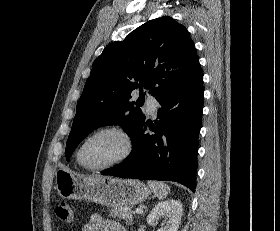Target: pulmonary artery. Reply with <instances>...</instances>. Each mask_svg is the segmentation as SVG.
Returning <instances> with one entry per match:
<instances>
[{
    "label": "pulmonary artery",
    "mask_w": 280,
    "mask_h": 231,
    "mask_svg": "<svg viewBox=\"0 0 280 231\" xmlns=\"http://www.w3.org/2000/svg\"><path fill=\"white\" fill-rule=\"evenodd\" d=\"M145 105H158L155 96L148 94L146 96ZM147 113H156L157 110H146Z\"/></svg>",
    "instance_id": "obj_1"
}]
</instances>
